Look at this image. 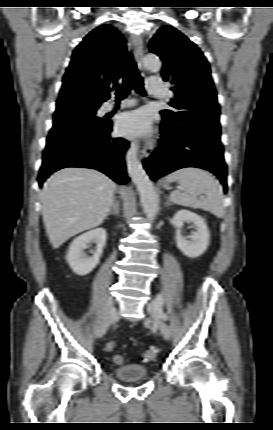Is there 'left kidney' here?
<instances>
[{"mask_svg":"<svg viewBox=\"0 0 273 430\" xmlns=\"http://www.w3.org/2000/svg\"><path fill=\"white\" fill-rule=\"evenodd\" d=\"M185 222L192 223V228L195 229L187 238L183 237L181 233ZM173 224L176 228L177 247L185 256L197 258L206 251L209 245L210 232L202 216L189 210H180L175 214Z\"/></svg>","mask_w":273,"mask_h":430,"instance_id":"left-kidney-1","label":"left kidney"}]
</instances>
